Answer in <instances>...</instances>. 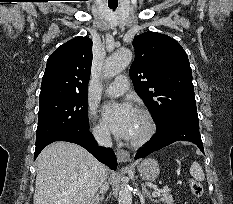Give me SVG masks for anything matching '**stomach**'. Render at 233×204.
Returning <instances> with one entry per match:
<instances>
[{"mask_svg": "<svg viewBox=\"0 0 233 204\" xmlns=\"http://www.w3.org/2000/svg\"><path fill=\"white\" fill-rule=\"evenodd\" d=\"M138 171L142 179L151 181L159 175V165L154 159L147 158L138 165Z\"/></svg>", "mask_w": 233, "mask_h": 204, "instance_id": "obj_1", "label": "stomach"}]
</instances>
